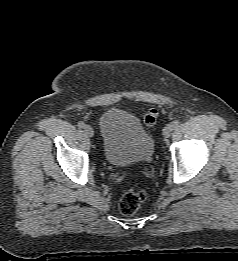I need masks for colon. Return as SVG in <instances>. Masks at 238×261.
I'll use <instances>...</instances> for the list:
<instances>
[{"label":"colon","instance_id":"5ec220e1","mask_svg":"<svg viewBox=\"0 0 238 261\" xmlns=\"http://www.w3.org/2000/svg\"><path fill=\"white\" fill-rule=\"evenodd\" d=\"M157 119V111L150 109L143 116V121L147 126L155 124ZM147 199V192L138 185L131 187L121 198L119 203V210L123 215L131 216L135 214L145 203Z\"/></svg>","mask_w":238,"mask_h":261}]
</instances>
